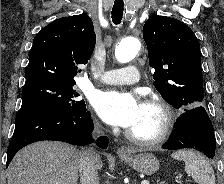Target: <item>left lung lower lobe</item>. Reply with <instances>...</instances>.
Listing matches in <instances>:
<instances>
[{
	"mask_svg": "<svg viewBox=\"0 0 224 184\" xmlns=\"http://www.w3.org/2000/svg\"><path fill=\"white\" fill-rule=\"evenodd\" d=\"M177 150L193 148L203 152L209 158L215 155L216 140L211 120L203 106L188 109L178 122L169 141L162 146Z\"/></svg>",
	"mask_w": 224,
	"mask_h": 184,
	"instance_id": "1",
	"label": "left lung lower lobe"
}]
</instances>
